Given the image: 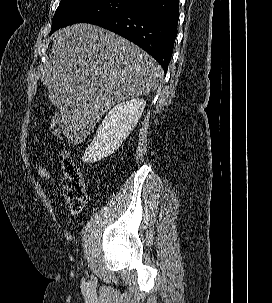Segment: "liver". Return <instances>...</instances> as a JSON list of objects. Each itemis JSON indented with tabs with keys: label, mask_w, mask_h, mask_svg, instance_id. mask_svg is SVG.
I'll return each instance as SVG.
<instances>
[{
	"label": "liver",
	"mask_w": 272,
	"mask_h": 303,
	"mask_svg": "<svg viewBox=\"0 0 272 303\" xmlns=\"http://www.w3.org/2000/svg\"><path fill=\"white\" fill-rule=\"evenodd\" d=\"M41 81L61 114L63 134L78 145L116 103L148 95L163 78L145 51L104 28L80 23L56 31Z\"/></svg>",
	"instance_id": "6515ba94"
}]
</instances>
